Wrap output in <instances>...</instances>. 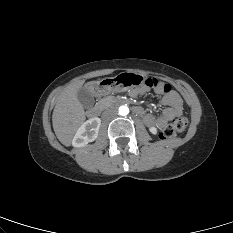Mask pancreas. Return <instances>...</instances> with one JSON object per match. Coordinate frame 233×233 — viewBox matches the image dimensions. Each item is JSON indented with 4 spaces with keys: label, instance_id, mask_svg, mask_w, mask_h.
<instances>
[{
    "label": "pancreas",
    "instance_id": "1",
    "mask_svg": "<svg viewBox=\"0 0 233 233\" xmlns=\"http://www.w3.org/2000/svg\"><path fill=\"white\" fill-rule=\"evenodd\" d=\"M110 101V98L106 97V98H103L99 101L100 104H106Z\"/></svg>",
    "mask_w": 233,
    "mask_h": 233
}]
</instances>
